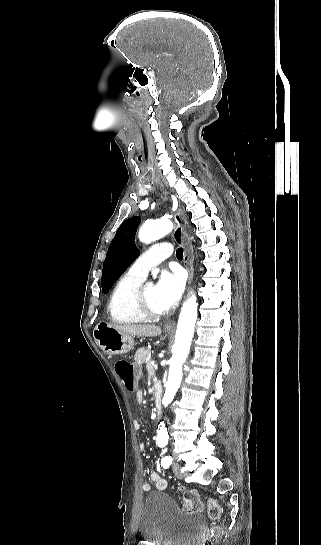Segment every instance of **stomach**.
Listing matches in <instances>:
<instances>
[{
  "label": "stomach",
  "instance_id": "1",
  "mask_svg": "<svg viewBox=\"0 0 321 545\" xmlns=\"http://www.w3.org/2000/svg\"><path fill=\"white\" fill-rule=\"evenodd\" d=\"M165 333H170L166 331ZM93 337L103 353L108 355H125L134 349V337L132 335H121L119 331L109 327L108 323H98L93 331Z\"/></svg>",
  "mask_w": 321,
  "mask_h": 545
}]
</instances>
